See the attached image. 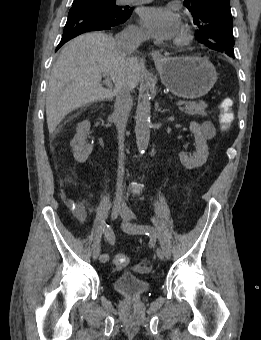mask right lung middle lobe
Wrapping results in <instances>:
<instances>
[{"instance_id":"1","label":"right lung middle lobe","mask_w":261,"mask_h":340,"mask_svg":"<svg viewBox=\"0 0 261 340\" xmlns=\"http://www.w3.org/2000/svg\"><path fill=\"white\" fill-rule=\"evenodd\" d=\"M115 1L116 0H91V1L73 3L72 7L85 6V7L97 8L105 14H112L116 17L125 16L130 12V10L126 8L117 6L115 4Z\"/></svg>"}]
</instances>
